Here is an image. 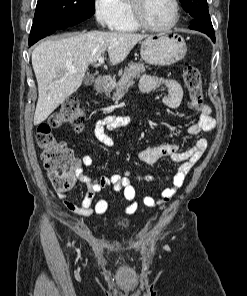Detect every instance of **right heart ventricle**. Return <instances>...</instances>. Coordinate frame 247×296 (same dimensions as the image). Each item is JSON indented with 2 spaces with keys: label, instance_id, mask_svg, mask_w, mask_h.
Here are the masks:
<instances>
[{
  "label": "right heart ventricle",
  "instance_id": "1",
  "mask_svg": "<svg viewBox=\"0 0 247 296\" xmlns=\"http://www.w3.org/2000/svg\"><path fill=\"white\" fill-rule=\"evenodd\" d=\"M120 18L114 29L119 32H134L138 30L135 24L129 4V0H119Z\"/></svg>",
  "mask_w": 247,
  "mask_h": 296
}]
</instances>
